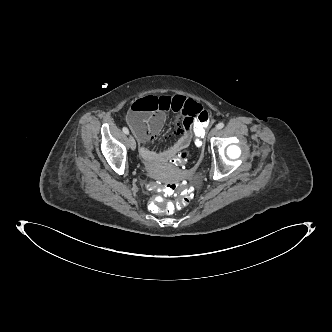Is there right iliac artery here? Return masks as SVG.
Listing matches in <instances>:
<instances>
[{"label":"right iliac artery","instance_id":"1","mask_svg":"<svg viewBox=\"0 0 332 332\" xmlns=\"http://www.w3.org/2000/svg\"><path fill=\"white\" fill-rule=\"evenodd\" d=\"M123 132L125 133V134H129V130H128V128L127 127H123Z\"/></svg>","mask_w":332,"mask_h":332}]
</instances>
